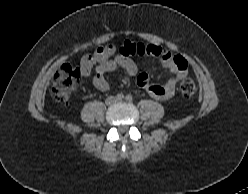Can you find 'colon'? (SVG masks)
Masks as SVG:
<instances>
[{"label":"colon","instance_id":"colon-1","mask_svg":"<svg viewBox=\"0 0 248 194\" xmlns=\"http://www.w3.org/2000/svg\"><path fill=\"white\" fill-rule=\"evenodd\" d=\"M145 45L138 43L136 54L144 55ZM80 82V70L70 64L62 65L54 75L51 93L55 100L66 101ZM196 92L193 79L185 78L180 83V94L183 98H190Z\"/></svg>","mask_w":248,"mask_h":194}]
</instances>
